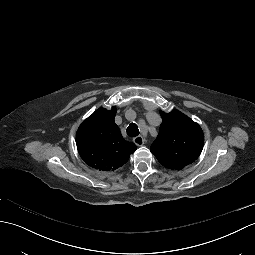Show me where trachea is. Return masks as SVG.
<instances>
[{"label": "trachea", "instance_id": "obj_1", "mask_svg": "<svg viewBox=\"0 0 255 255\" xmlns=\"http://www.w3.org/2000/svg\"><path fill=\"white\" fill-rule=\"evenodd\" d=\"M127 135L130 137H136L139 135L138 126L135 123H131L127 128Z\"/></svg>", "mask_w": 255, "mask_h": 255}]
</instances>
